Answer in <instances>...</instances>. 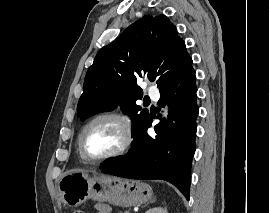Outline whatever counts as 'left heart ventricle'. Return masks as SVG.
<instances>
[{"mask_svg":"<svg viewBox=\"0 0 270 213\" xmlns=\"http://www.w3.org/2000/svg\"><path fill=\"white\" fill-rule=\"evenodd\" d=\"M123 141V127L114 120L104 119L89 127L84 136V148L90 156L101 157L118 149Z\"/></svg>","mask_w":270,"mask_h":213,"instance_id":"b2bd125f","label":"left heart ventricle"}]
</instances>
